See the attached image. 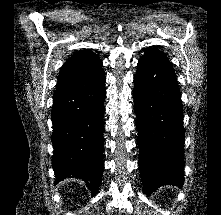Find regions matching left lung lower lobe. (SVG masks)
Masks as SVG:
<instances>
[{
  "label": "left lung lower lobe",
  "instance_id": "0a47b994",
  "mask_svg": "<svg viewBox=\"0 0 221 215\" xmlns=\"http://www.w3.org/2000/svg\"><path fill=\"white\" fill-rule=\"evenodd\" d=\"M139 169L144 192L184 183L181 94L171 65L140 59L134 77Z\"/></svg>",
  "mask_w": 221,
  "mask_h": 215
}]
</instances>
